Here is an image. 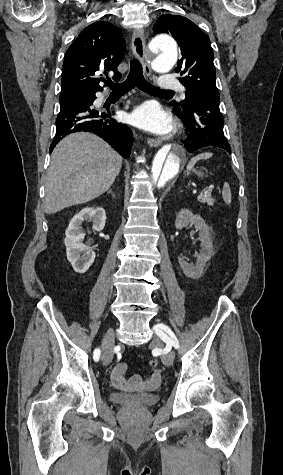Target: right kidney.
<instances>
[{
  "label": "right kidney",
  "instance_id": "1",
  "mask_svg": "<svg viewBox=\"0 0 283 475\" xmlns=\"http://www.w3.org/2000/svg\"><path fill=\"white\" fill-rule=\"evenodd\" d=\"M85 220L93 222V230L101 232L105 226L106 214L103 208H83L79 214L73 216L65 234L64 243L66 245L67 259L70 261L74 271L85 273L95 259V251L89 245L83 243L85 234H82L80 226ZM84 253V255H81Z\"/></svg>",
  "mask_w": 283,
  "mask_h": 475
}]
</instances>
